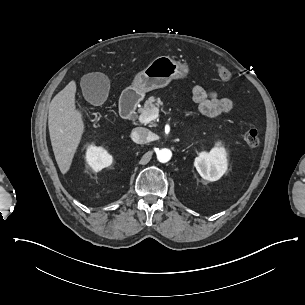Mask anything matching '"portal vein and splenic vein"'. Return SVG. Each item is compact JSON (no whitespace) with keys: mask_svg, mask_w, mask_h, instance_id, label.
<instances>
[{"mask_svg":"<svg viewBox=\"0 0 305 305\" xmlns=\"http://www.w3.org/2000/svg\"><path fill=\"white\" fill-rule=\"evenodd\" d=\"M159 115V109L154 107L151 109L150 114L148 112H144L139 116V121L141 123H149L152 120H155Z\"/></svg>","mask_w":305,"mask_h":305,"instance_id":"portal-vein-and-splenic-vein-1","label":"portal vein and splenic vein"}]
</instances>
